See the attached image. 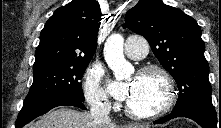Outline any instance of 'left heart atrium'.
<instances>
[{
    "label": "left heart atrium",
    "mask_w": 221,
    "mask_h": 128,
    "mask_svg": "<svg viewBox=\"0 0 221 128\" xmlns=\"http://www.w3.org/2000/svg\"><path fill=\"white\" fill-rule=\"evenodd\" d=\"M134 88H135V80L127 84H118L113 87L112 94L119 101H127L131 93L134 91Z\"/></svg>",
    "instance_id": "1"
}]
</instances>
